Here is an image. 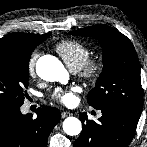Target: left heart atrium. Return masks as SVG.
<instances>
[{
    "mask_svg": "<svg viewBox=\"0 0 147 147\" xmlns=\"http://www.w3.org/2000/svg\"><path fill=\"white\" fill-rule=\"evenodd\" d=\"M81 92L79 86H72L68 89H57L53 93V98L60 103L70 106L76 103L77 94Z\"/></svg>",
    "mask_w": 147,
    "mask_h": 147,
    "instance_id": "left-heart-atrium-1",
    "label": "left heart atrium"
}]
</instances>
